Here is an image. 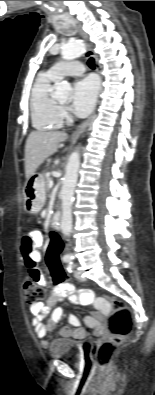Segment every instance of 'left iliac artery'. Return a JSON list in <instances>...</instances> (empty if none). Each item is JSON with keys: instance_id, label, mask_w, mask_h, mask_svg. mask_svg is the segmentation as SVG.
<instances>
[{"instance_id": "1", "label": "left iliac artery", "mask_w": 155, "mask_h": 395, "mask_svg": "<svg viewBox=\"0 0 155 395\" xmlns=\"http://www.w3.org/2000/svg\"><path fill=\"white\" fill-rule=\"evenodd\" d=\"M67 270H68V272H72V270H73V262H72V259L68 262V265H67Z\"/></svg>"}]
</instances>
